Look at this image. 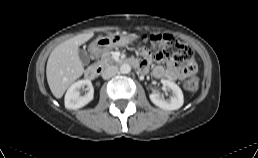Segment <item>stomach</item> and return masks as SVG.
Returning a JSON list of instances; mask_svg holds the SVG:
<instances>
[{
  "label": "stomach",
  "instance_id": "obj_1",
  "mask_svg": "<svg viewBox=\"0 0 258 158\" xmlns=\"http://www.w3.org/2000/svg\"><path fill=\"white\" fill-rule=\"evenodd\" d=\"M135 40L133 35L110 34L108 36L99 37L91 44V50L95 54L104 53L114 47L125 46Z\"/></svg>",
  "mask_w": 258,
  "mask_h": 158
}]
</instances>
